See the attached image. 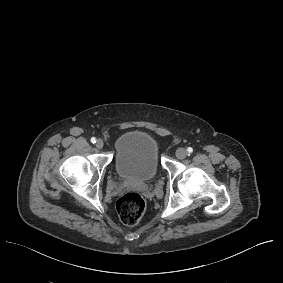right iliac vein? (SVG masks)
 <instances>
[{
  "label": "right iliac vein",
  "mask_w": 283,
  "mask_h": 283,
  "mask_svg": "<svg viewBox=\"0 0 283 283\" xmlns=\"http://www.w3.org/2000/svg\"><path fill=\"white\" fill-rule=\"evenodd\" d=\"M95 146H96V148H98V149H102L103 146H104L103 140H101V139L97 140Z\"/></svg>",
  "instance_id": "right-iliac-vein-1"
}]
</instances>
